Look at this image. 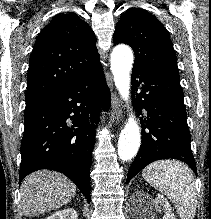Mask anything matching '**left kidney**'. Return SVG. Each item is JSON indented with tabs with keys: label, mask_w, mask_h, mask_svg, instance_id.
Here are the masks:
<instances>
[{
	"label": "left kidney",
	"mask_w": 211,
	"mask_h": 219,
	"mask_svg": "<svg viewBox=\"0 0 211 219\" xmlns=\"http://www.w3.org/2000/svg\"><path fill=\"white\" fill-rule=\"evenodd\" d=\"M141 194L140 196L143 199H150L147 194L144 193H138ZM163 211L164 217L163 219H176L174 213L172 212L170 208V204L167 201L166 198H164L163 195H158L154 201H150L148 210L145 214L144 219H157V212Z\"/></svg>",
	"instance_id": "1"
}]
</instances>
